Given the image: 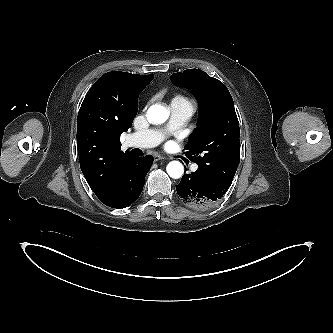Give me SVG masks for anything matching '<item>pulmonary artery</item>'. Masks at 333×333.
<instances>
[{
	"label": "pulmonary artery",
	"instance_id": "pulmonary-artery-1",
	"mask_svg": "<svg viewBox=\"0 0 333 333\" xmlns=\"http://www.w3.org/2000/svg\"><path fill=\"white\" fill-rule=\"evenodd\" d=\"M194 105L189 101L172 100L170 104V120L164 129H149L135 132L128 137L129 146L139 148H149L160 144L165 136L183 125L194 113ZM197 165L191 167L192 171L197 170Z\"/></svg>",
	"mask_w": 333,
	"mask_h": 333
}]
</instances>
